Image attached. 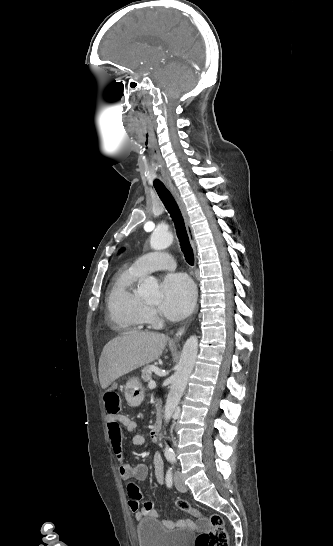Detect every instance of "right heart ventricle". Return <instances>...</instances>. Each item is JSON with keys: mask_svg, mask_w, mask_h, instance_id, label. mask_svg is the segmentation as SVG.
<instances>
[{"mask_svg": "<svg viewBox=\"0 0 333 546\" xmlns=\"http://www.w3.org/2000/svg\"><path fill=\"white\" fill-rule=\"evenodd\" d=\"M143 275L131 266L120 271L111 284L107 296L108 318L120 330L136 332L145 328V304L135 290Z\"/></svg>", "mask_w": 333, "mask_h": 546, "instance_id": "1", "label": "right heart ventricle"}]
</instances>
